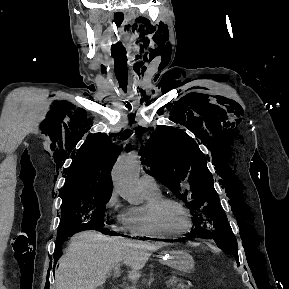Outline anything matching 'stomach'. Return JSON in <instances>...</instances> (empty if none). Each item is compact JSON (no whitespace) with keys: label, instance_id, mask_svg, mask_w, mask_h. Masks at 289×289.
Listing matches in <instances>:
<instances>
[{"label":"stomach","instance_id":"stomach-1","mask_svg":"<svg viewBox=\"0 0 289 289\" xmlns=\"http://www.w3.org/2000/svg\"><path fill=\"white\" fill-rule=\"evenodd\" d=\"M163 262L182 274L191 273L195 265L192 255L185 250L168 251Z\"/></svg>","mask_w":289,"mask_h":289}]
</instances>
